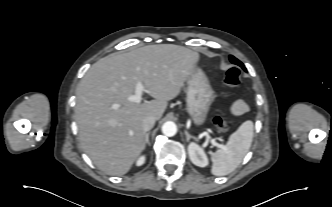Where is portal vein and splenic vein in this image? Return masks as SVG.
<instances>
[{
	"mask_svg": "<svg viewBox=\"0 0 332 207\" xmlns=\"http://www.w3.org/2000/svg\"><path fill=\"white\" fill-rule=\"evenodd\" d=\"M143 92H146V89L144 88L142 83L138 82L136 85L134 94L130 95L128 97V100L131 102H135V103H141ZM114 108H117V106L114 105ZM204 134L211 141V143L213 145L223 148V145H220V144L216 143L213 139H210V136L208 135L207 132H204Z\"/></svg>",
	"mask_w": 332,
	"mask_h": 207,
	"instance_id": "18ae733b",
	"label": "portal vein and splenic vein"
}]
</instances>
